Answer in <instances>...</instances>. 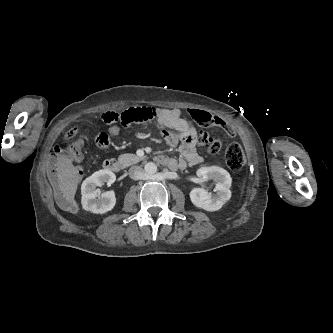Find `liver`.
<instances>
[{"instance_id": "obj_1", "label": "liver", "mask_w": 333, "mask_h": 333, "mask_svg": "<svg viewBox=\"0 0 333 333\" xmlns=\"http://www.w3.org/2000/svg\"><path fill=\"white\" fill-rule=\"evenodd\" d=\"M58 183L62 196L69 204L73 203L78 188L79 174L76 167L66 158L57 161Z\"/></svg>"}]
</instances>
